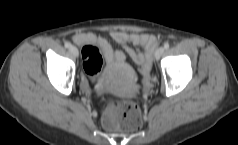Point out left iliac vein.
<instances>
[{
    "label": "left iliac vein",
    "mask_w": 238,
    "mask_h": 145,
    "mask_svg": "<svg viewBox=\"0 0 238 145\" xmlns=\"http://www.w3.org/2000/svg\"><path fill=\"white\" fill-rule=\"evenodd\" d=\"M163 53H164V47L157 48V50L155 51V59L159 60L160 57L163 55Z\"/></svg>",
    "instance_id": "obj_1"
}]
</instances>
